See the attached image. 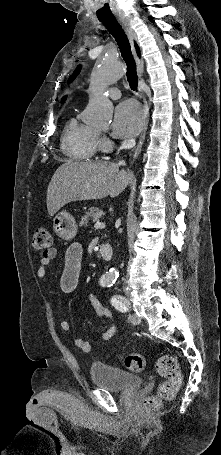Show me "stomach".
<instances>
[{"label": "stomach", "instance_id": "stomach-1", "mask_svg": "<svg viewBox=\"0 0 221 455\" xmlns=\"http://www.w3.org/2000/svg\"><path fill=\"white\" fill-rule=\"evenodd\" d=\"M75 218L68 212L62 211L53 219V230L63 240H72L77 234Z\"/></svg>", "mask_w": 221, "mask_h": 455}]
</instances>
